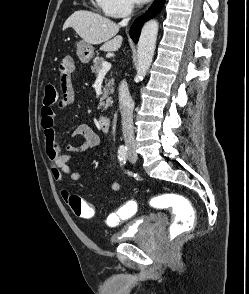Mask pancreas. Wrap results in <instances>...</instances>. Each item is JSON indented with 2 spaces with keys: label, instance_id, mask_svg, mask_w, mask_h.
Wrapping results in <instances>:
<instances>
[{
  "label": "pancreas",
  "instance_id": "cf45deb5",
  "mask_svg": "<svg viewBox=\"0 0 249 294\" xmlns=\"http://www.w3.org/2000/svg\"><path fill=\"white\" fill-rule=\"evenodd\" d=\"M104 62V59L102 57H96L93 60V66H91V70L95 75H98L101 68L102 64ZM114 81L113 79L106 81V85L103 88V94L100 98L98 109H107L111 105V98L109 97L110 93H113L114 88ZM106 100V101H104Z\"/></svg>",
  "mask_w": 249,
  "mask_h": 294
}]
</instances>
